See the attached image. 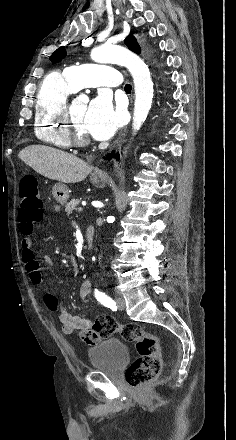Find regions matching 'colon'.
<instances>
[{
  "label": "colon",
  "mask_w": 236,
  "mask_h": 440,
  "mask_svg": "<svg viewBox=\"0 0 236 440\" xmlns=\"http://www.w3.org/2000/svg\"><path fill=\"white\" fill-rule=\"evenodd\" d=\"M21 205L19 208V220L21 229L29 234L33 226L42 221L44 216V202L38 189L35 177L24 176L19 185ZM47 304L50 310H57L59 302L55 297H49ZM97 330V339H84L85 341H99L119 333L124 340L134 342L138 357L127 368L125 378L127 384L137 388L154 380L161 372L162 358L161 347L158 338L150 332H146L136 323L119 324L111 316H98L91 328Z\"/></svg>",
  "instance_id": "1"
}]
</instances>
